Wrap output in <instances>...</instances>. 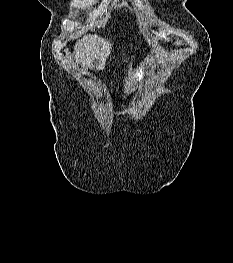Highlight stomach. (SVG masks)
I'll use <instances>...</instances> for the list:
<instances>
[{"mask_svg":"<svg viewBox=\"0 0 233 263\" xmlns=\"http://www.w3.org/2000/svg\"><path fill=\"white\" fill-rule=\"evenodd\" d=\"M156 69V56L153 51H151L144 61L134 71L133 77H113V82H130L125 87V90H136V87H142L145 85L150 77L153 76ZM136 82V83H135Z\"/></svg>","mask_w":233,"mask_h":263,"instance_id":"obj_1","label":"stomach"}]
</instances>
